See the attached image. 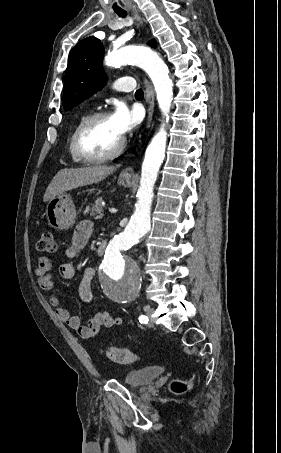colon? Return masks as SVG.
Returning a JSON list of instances; mask_svg holds the SVG:
<instances>
[{
    "instance_id": "5ec220e1",
    "label": "colon",
    "mask_w": 281,
    "mask_h": 453,
    "mask_svg": "<svg viewBox=\"0 0 281 453\" xmlns=\"http://www.w3.org/2000/svg\"><path fill=\"white\" fill-rule=\"evenodd\" d=\"M38 250L45 255H58L59 248L55 242V231L45 230L42 238L38 242ZM142 356L135 351L128 349L110 348L107 350V360L110 363H138L142 361ZM188 382L185 379H177L172 389L176 393L186 391Z\"/></svg>"
}]
</instances>
